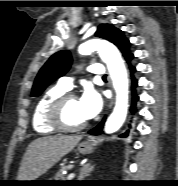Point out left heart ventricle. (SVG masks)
Listing matches in <instances>:
<instances>
[{
    "label": "left heart ventricle",
    "mask_w": 178,
    "mask_h": 186,
    "mask_svg": "<svg viewBox=\"0 0 178 186\" xmlns=\"http://www.w3.org/2000/svg\"><path fill=\"white\" fill-rule=\"evenodd\" d=\"M63 120L70 126L79 125L87 121L81 111L78 98H72L66 103L63 112Z\"/></svg>",
    "instance_id": "b2bd125f"
}]
</instances>
